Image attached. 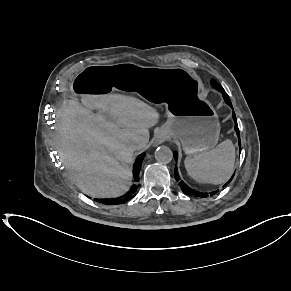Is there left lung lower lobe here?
I'll return each instance as SVG.
<instances>
[{
    "label": "left lung lower lobe",
    "mask_w": 291,
    "mask_h": 291,
    "mask_svg": "<svg viewBox=\"0 0 291 291\" xmlns=\"http://www.w3.org/2000/svg\"><path fill=\"white\" fill-rule=\"evenodd\" d=\"M221 93L223 94V97H224V100L225 102L232 107V104H231V101H230V98L229 96L227 95V93L225 91H221ZM233 119L235 121V131L237 133V136H238V144L240 146V150H241V142H240V134H239V129H238V125H237V121H236V116H235V113L233 112ZM174 157L175 159L177 160V153L175 152L174 153ZM234 176V175H233ZM233 176L231 177V179L227 182L229 183ZM175 179L176 181L179 183V186L181 187L182 191L187 194V195H190V196H196V197H201V198H205V197H208V196H212L214 195L215 193H217V191H214V192H210V193H202V192H198V191H195L193 189H191L189 186H187L182 180H180V177L178 175V170H177V166L175 167ZM226 183V184H227ZM225 184V185H226Z\"/></svg>",
    "instance_id": "0a47b994"
}]
</instances>
